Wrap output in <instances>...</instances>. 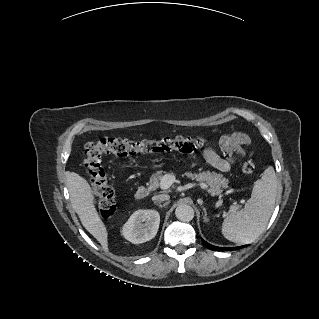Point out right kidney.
<instances>
[{"instance_id":"right-kidney-1","label":"right kidney","mask_w":319,"mask_h":319,"mask_svg":"<svg viewBox=\"0 0 319 319\" xmlns=\"http://www.w3.org/2000/svg\"><path fill=\"white\" fill-rule=\"evenodd\" d=\"M160 215L155 210L135 211L122 228V235L134 244L151 240L157 234Z\"/></svg>"}]
</instances>
